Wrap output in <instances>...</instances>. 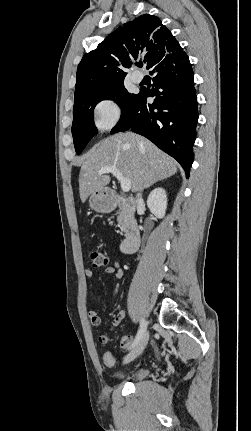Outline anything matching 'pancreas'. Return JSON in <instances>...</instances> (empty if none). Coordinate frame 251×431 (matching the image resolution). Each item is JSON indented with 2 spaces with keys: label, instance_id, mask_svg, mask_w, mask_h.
I'll list each match as a JSON object with an SVG mask.
<instances>
[{
  "label": "pancreas",
  "instance_id": "1",
  "mask_svg": "<svg viewBox=\"0 0 251 431\" xmlns=\"http://www.w3.org/2000/svg\"><path fill=\"white\" fill-rule=\"evenodd\" d=\"M126 216H127V211L126 210H122L120 212L119 216L117 217L118 226L121 228L122 231L125 228Z\"/></svg>",
  "mask_w": 251,
  "mask_h": 431
}]
</instances>
